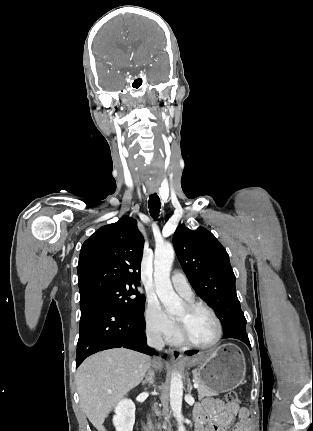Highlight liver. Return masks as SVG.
<instances>
[{"instance_id": "liver-1", "label": "liver", "mask_w": 313, "mask_h": 431, "mask_svg": "<svg viewBox=\"0 0 313 431\" xmlns=\"http://www.w3.org/2000/svg\"><path fill=\"white\" fill-rule=\"evenodd\" d=\"M150 358L125 348L99 352L76 372L81 407L98 431L114 405L143 380Z\"/></svg>"}]
</instances>
